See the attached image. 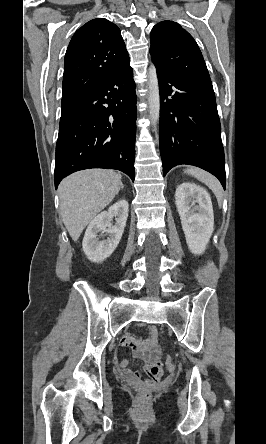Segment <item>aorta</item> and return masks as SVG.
Instances as JSON below:
<instances>
[{
    "label": "aorta",
    "mask_w": 266,
    "mask_h": 444,
    "mask_svg": "<svg viewBox=\"0 0 266 444\" xmlns=\"http://www.w3.org/2000/svg\"><path fill=\"white\" fill-rule=\"evenodd\" d=\"M148 89L149 117L155 126L160 114V94L157 71L154 65H151L148 69Z\"/></svg>",
    "instance_id": "762f6f07"
}]
</instances>
